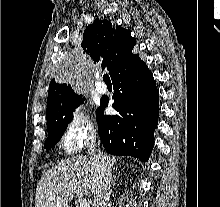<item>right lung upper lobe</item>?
<instances>
[{
  "instance_id": "obj_1",
  "label": "right lung upper lobe",
  "mask_w": 220,
  "mask_h": 207,
  "mask_svg": "<svg viewBox=\"0 0 220 207\" xmlns=\"http://www.w3.org/2000/svg\"><path fill=\"white\" fill-rule=\"evenodd\" d=\"M136 41L128 30L116 26L108 20L97 18L83 35L82 48L87 58L100 62L112 77L115 69L133 55ZM76 95L71 86L51 80L48 91L46 117L58 110L70 97Z\"/></svg>"
}]
</instances>
